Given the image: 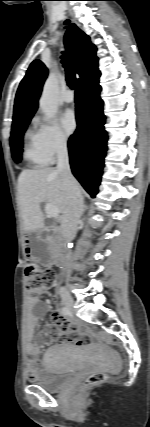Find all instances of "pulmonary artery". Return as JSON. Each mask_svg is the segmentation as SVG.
Instances as JSON below:
<instances>
[{
	"instance_id": "obj_1",
	"label": "pulmonary artery",
	"mask_w": 150,
	"mask_h": 427,
	"mask_svg": "<svg viewBox=\"0 0 150 427\" xmlns=\"http://www.w3.org/2000/svg\"><path fill=\"white\" fill-rule=\"evenodd\" d=\"M62 99L66 103H71L74 100L73 93L70 90H67L64 92Z\"/></svg>"
}]
</instances>
